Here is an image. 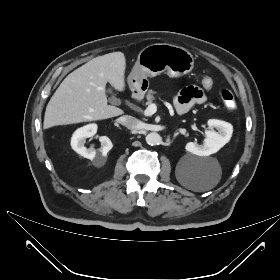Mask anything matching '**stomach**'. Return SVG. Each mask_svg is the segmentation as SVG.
Here are the masks:
<instances>
[{
	"label": "stomach",
	"mask_w": 280,
	"mask_h": 280,
	"mask_svg": "<svg viewBox=\"0 0 280 280\" xmlns=\"http://www.w3.org/2000/svg\"><path fill=\"white\" fill-rule=\"evenodd\" d=\"M193 67L194 58L185 48L167 43L151 44L140 51L128 84L131 90L142 91L148 77L166 72L176 78L188 74Z\"/></svg>",
	"instance_id": "0dacf381"
}]
</instances>
